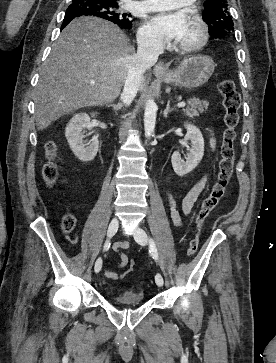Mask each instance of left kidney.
Here are the masks:
<instances>
[{"instance_id": "1", "label": "left kidney", "mask_w": 276, "mask_h": 363, "mask_svg": "<svg viewBox=\"0 0 276 363\" xmlns=\"http://www.w3.org/2000/svg\"><path fill=\"white\" fill-rule=\"evenodd\" d=\"M184 126L187 129L184 140L191 142V149L187 153L185 160L181 158L178 151L172 154V167L178 176H184L191 172L200 163L204 155V138L201 131L190 123H185Z\"/></svg>"}]
</instances>
